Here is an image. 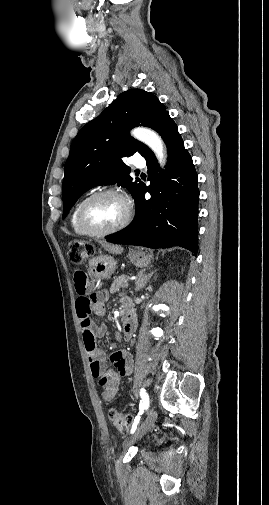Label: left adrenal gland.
<instances>
[{
  "instance_id": "left-adrenal-gland-1",
  "label": "left adrenal gland",
  "mask_w": 269,
  "mask_h": 505,
  "mask_svg": "<svg viewBox=\"0 0 269 505\" xmlns=\"http://www.w3.org/2000/svg\"><path fill=\"white\" fill-rule=\"evenodd\" d=\"M156 271L157 270L152 271L149 274H145V270L140 271L137 275L135 291H140L142 288H144Z\"/></svg>"
}]
</instances>
